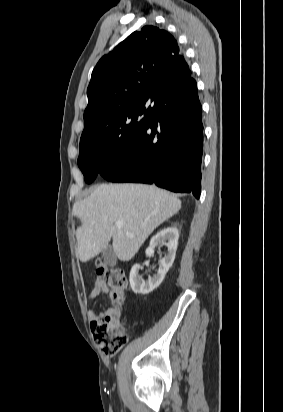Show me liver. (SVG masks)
Segmentation results:
<instances>
[{
    "label": "liver",
    "instance_id": "obj_1",
    "mask_svg": "<svg viewBox=\"0 0 283 412\" xmlns=\"http://www.w3.org/2000/svg\"><path fill=\"white\" fill-rule=\"evenodd\" d=\"M180 208V199L153 185L102 184L73 205V215L81 221L76 230L78 258L89 261L112 239L118 259L129 261L154 229Z\"/></svg>",
    "mask_w": 283,
    "mask_h": 412
}]
</instances>
